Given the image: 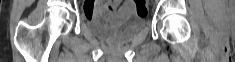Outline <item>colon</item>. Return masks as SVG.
<instances>
[{"instance_id":"5ec220e1","label":"colon","mask_w":235,"mask_h":62,"mask_svg":"<svg viewBox=\"0 0 235 62\" xmlns=\"http://www.w3.org/2000/svg\"><path fill=\"white\" fill-rule=\"evenodd\" d=\"M136 12L141 15L147 14V3L146 0H134ZM85 14L90 19H100L106 21L111 15L110 9L105 5L104 2H95L86 8Z\"/></svg>"}]
</instances>
